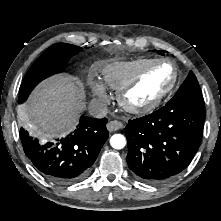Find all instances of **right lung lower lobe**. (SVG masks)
<instances>
[{
    "label": "right lung lower lobe",
    "mask_w": 221,
    "mask_h": 221,
    "mask_svg": "<svg viewBox=\"0 0 221 221\" xmlns=\"http://www.w3.org/2000/svg\"><path fill=\"white\" fill-rule=\"evenodd\" d=\"M106 123V118L82 116L72 133L53 142H40L23 128L19 135L25 155L35 169L53 182L68 184L89 173L109 136Z\"/></svg>",
    "instance_id": "98d812e1"
}]
</instances>
